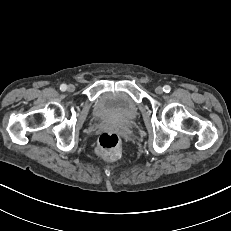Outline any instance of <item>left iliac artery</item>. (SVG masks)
<instances>
[{
	"mask_svg": "<svg viewBox=\"0 0 231 231\" xmlns=\"http://www.w3.org/2000/svg\"><path fill=\"white\" fill-rule=\"evenodd\" d=\"M163 91L166 92V93H169L171 91V87L169 85H165L163 87Z\"/></svg>",
	"mask_w": 231,
	"mask_h": 231,
	"instance_id": "left-iliac-artery-1",
	"label": "left iliac artery"
}]
</instances>
